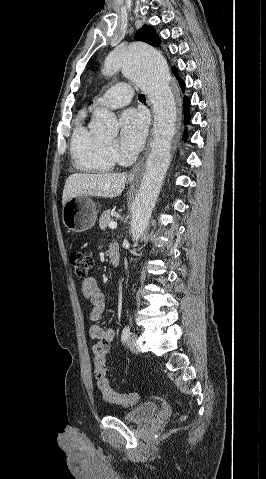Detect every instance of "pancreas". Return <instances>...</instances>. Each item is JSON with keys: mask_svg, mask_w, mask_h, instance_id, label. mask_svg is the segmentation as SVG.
Wrapping results in <instances>:
<instances>
[{"mask_svg": "<svg viewBox=\"0 0 266 479\" xmlns=\"http://www.w3.org/2000/svg\"><path fill=\"white\" fill-rule=\"evenodd\" d=\"M113 219L111 218V211L106 210L105 212L102 213L100 219H99V227L101 229H106L107 226H109V223L112 222Z\"/></svg>", "mask_w": 266, "mask_h": 479, "instance_id": "pancreas-1", "label": "pancreas"}]
</instances>
